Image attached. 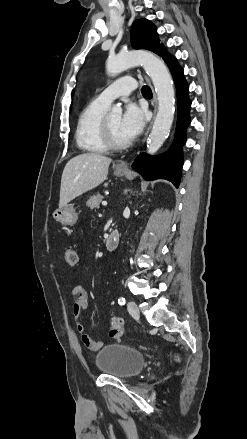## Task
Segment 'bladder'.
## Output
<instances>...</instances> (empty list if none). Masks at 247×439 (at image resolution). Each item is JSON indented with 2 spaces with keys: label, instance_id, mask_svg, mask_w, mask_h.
I'll use <instances>...</instances> for the list:
<instances>
[{
  "label": "bladder",
  "instance_id": "bladder-1",
  "mask_svg": "<svg viewBox=\"0 0 247 439\" xmlns=\"http://www.w3.org/2000/svg\"><path fill=\"white\" fill-rule=\"evenodd\" d=\"M95 362L98 370L104 374L118 378H131L144 368L145 356L133 347L110 344L97 353Z\"/></svg>",
  "mask_w": 247,
  "mask_h": 439
}]
</instances>
